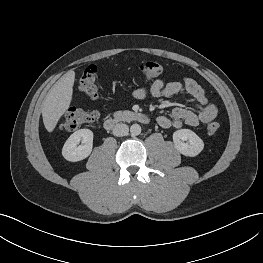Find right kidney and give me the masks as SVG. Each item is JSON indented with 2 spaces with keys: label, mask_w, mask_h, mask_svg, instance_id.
Returning a JSON list of instances; mask_svg holds the SVG:
<instances>
[{
  "label": "right kidney",
  "mask_w": 263,
  "mask_h": 263,
  "mask_svg": "<svg viewBox=\"0 0 263 263\" xmlns=\"http://www.w3.org/2000/svg\"><path fill=\"white\" fill-rule=\"evenodd\" d=\"M80 141L82 144L78 145ZM92 147L93 132L89 129H80L66 140L62 148V155L68 161H80L90 155Z\"/></svg>",
  "instance_id": "ca27d5eb"
}]
</instances>
